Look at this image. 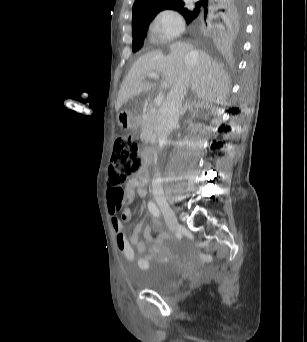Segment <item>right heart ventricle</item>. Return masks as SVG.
Instances as JSON below:
<instances>
[{
	"mask_svg": "<svg viewBox=\"0 0 307 342\" xmlns=\"http://www.w3.org/2000/svg\"><path fill=\"white\" fill-rule=\"evenodd\" d=\"M146 43L148 44L146 50H150V51H154V50H155V45H154V43L151 42L150 40H148L147 38H146Z\"/></svg>",
	"mask_w": 307,
	"mask_h": 342,
	"instance_id": "e07e8e85",
	"label": "right heart ventricle"
}]
</instances>
